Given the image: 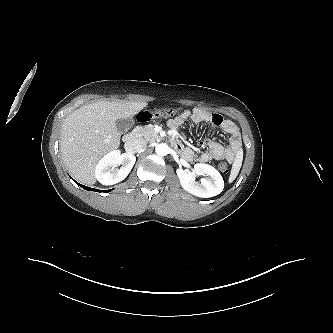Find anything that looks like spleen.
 I'll return each mask as SVG.
<instances>
[{"mask_svg":"<svg viewBox=\"0 0 333 333\" xmlns=\"http://www.w3.org/2000/svg\"><path fill=\"white\" fill-rule=\"evenodd\" d=\"M242 161H243V154L240 151L236 154V157H235L233 165H232V169H231V173H230V177H229L230 183L236 179V177L240 171Z\"/></svg>","mask_w":333,"mask_h":333,"instance_id":"obj_1","label":"spleen"}]
</instances>
